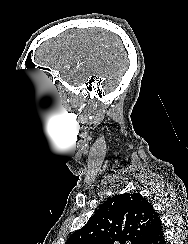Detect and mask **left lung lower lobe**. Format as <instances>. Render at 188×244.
<instances>
[{
    "label": "left lung lower lobe",
    "mask_w": 188,
    "mask_h": 244,
    "mask_svg": "<svg viewBox=\"0 0 188 244\" xmlns=\"http://www.w3.org/2000/svg\"><path fill=\"white\" fill-rule=\"evenodd\" d=\"M145 244H166L163 227L158 214L151 223Z\"/></svg>",
    "instance_id": "obj_1"
}]
</instances>
